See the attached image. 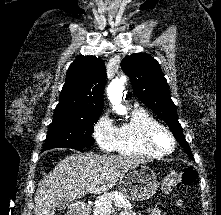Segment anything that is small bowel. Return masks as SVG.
Returning <instances> with one entry per match:
<instances>
[{"label": "small bowel", "instance_id": "c3829d8e", "mask_svg": "<svg viewBox=\"0 0 221 215\" xmlns=\"http://www.w3.org/2000/svg\"><path fill=\"white\" fill-rule=\"evenodd\" d=\"M147 212H148V215H161V212L157 208H149ZM120 215H136V214L132 212L131 210H124L121 212Z\"/></svg>", "mask_w": 221, "mask_h": 215}]
</instances>
